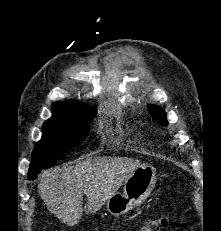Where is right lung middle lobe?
Returning <instances> with one entry per match:
<instances>
[{
    "mask_svg": "<svg viewBox=\"0 0 221 231\" xmlns=\"http://www.w3.org/2000/svg\"><path fill=\"white\" fill-rule=\"evenodd\" d=\"M96 111L76 116L53 115L43 124L41 140L32 152L29 171L39 172L53 166L60 156L79 146L87 137L89 122Z\"/></svg>",
    "mask_w": 221,
    "mask_h": 231,
    "instance_id": "1",
    "label": "right lung middle lobe"
}]
</instances>
